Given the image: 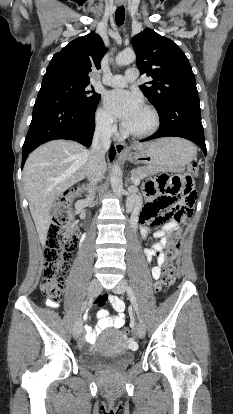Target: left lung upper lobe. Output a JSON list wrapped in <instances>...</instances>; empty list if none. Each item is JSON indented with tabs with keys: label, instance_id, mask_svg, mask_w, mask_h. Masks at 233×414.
<instances>
[{
	"label": "left lung upper lobe",
	"instance_id": "5c2ea615",
	"mask_svg": "<svg viewBox=\"0 0 233 414\" xmlns=\"http://www.w3.org/2000/svg\"><path fill=\"white\" fill-rule=\"evenodd\" d=\"M137 67L153 78L140 89L161 113L178 97L198 94L196 81L184 52L170 39L145 29L132 39Z\"/></svg>",
	"mask_w": 233,
	"mask_h": 414
}]
</instances>
